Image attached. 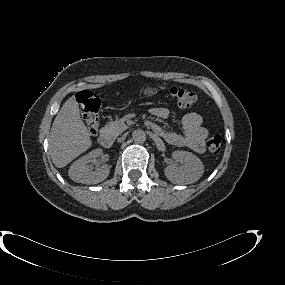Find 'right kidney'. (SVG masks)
<instances>
[{"label": "right kidney", "mask_w": 285, "mask_h": 285, "mask_svg": "<svg viewBox=\"0 0 285 285\" xmlns=\"http://www.w3.org/2000/svg\"><path fill=\"white\" fill-rule=\"evenodd\" d=\"M101 153V149H95L76 160L68 171L69 177L73 181L83 184H96L105 180L110 173L108 166L102 165L95 170L87 168V164L93 162Z\"/></svg>", "instance_id": "obj_1"}]
</instances>
